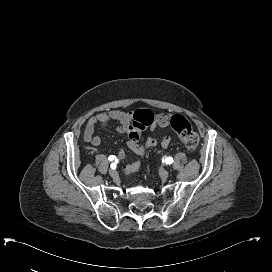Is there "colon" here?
I'll return each instance as SVG.
<instances>
[{"instance_id": "colon-1", "label": "colon", "mask_w": 272, "mask_h": 272, "mask_svg": "<svg viewBox=\"0 0 272 272\" xmlns=\"http://www.w3.org/2000/svg\"><path fill=\"white\" fill-rule=\"evenodd\" d=\"M150 115L148 112H137L133 116L132 128L140 129L148 124ZM166 122L169 126L173 128L178 134L179 139L188 151H195L198 143L199 137L197 133L193 130L190 122L182 115L176 114L171 117H167ZM107 122H102L101 124H106ZM130 140L137 141L138 134L135 131L130 133Z\"/></svg>"}]
</instances>
